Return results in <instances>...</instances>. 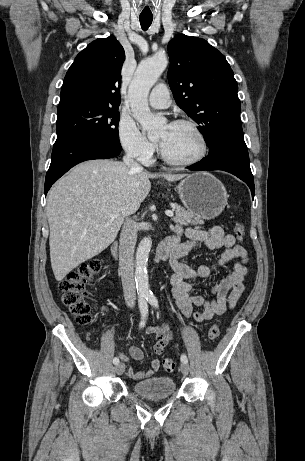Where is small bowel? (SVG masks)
<instances>
[{
    "instance_id": "obj_1",
    "label": "small bowel",
    "mask_w": 305,
    "mask_h": 461,
    "mask_svg": "<svg viewBox=\"0 0 305 461\" xmlns=\"http://www.w3.org/2000/svg\"><path fill=\"white\" fill-rule=\"evenodd\" d=\"M185 234L188 241L180 244L171 253L170 264L174 271L170 285L171 293L175 298V304L181 313L192 318L196 322L210 321L214 316L225 313L228 309H233L241 295L245 291L244 279L248 274V253L246 249L237 243L233 235L226 234L219 226L210 229L176 227V236ZM198 245H204L208 249H224L220 258L212 265H202L198 268H192L181 259L187 256ZM231 265V271L218 283L212 286L210 293L213 298L205 300L200 295L192 294L194 290L193 280L206 279L211 276L212 272L218 267ZM196 307H202L196 310ZM106 311V309H103ZM148 332L154 336V352L162 355L165 348L172 340V332L167 324L149 327ZM129 355L123 351L119 352L122 361H128L129 358L135 361L144 359L145 354L137 346H130ZM161 367L158 359L151 361V369L146 372H137L129 368L127 374L133 379L152 377Z\"/></svg>"
}]
</instances>
